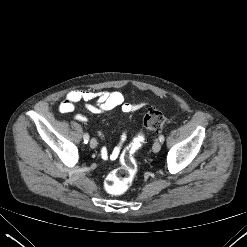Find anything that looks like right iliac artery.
Masks as SVG:
<instances>
[{"mask_svg": "<svg viewBox=\"0 0 247 247\" xmlns=\"http://www.w3.org/2000/svg\"><path fill=\"white\" fill-rule=\"evenodd\" d=\"M83 139H84V143H88L89 135L87 133H85L84 136H83Z\"/></svg>", "mask_w": 247, "mask_h": 247, "instance_id": "obj_1", "label": "right iliac artery"}]
</instances>
